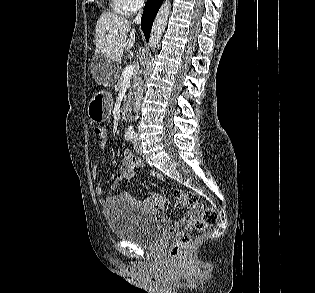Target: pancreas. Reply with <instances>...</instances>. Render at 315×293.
Instances as JSON below:
<instances>
[{"label": "pancreas", "instance_id": "cf45deb5", "mask_svg": "<svg viewBox=\"0 0 315 293\" xmlns=\"http://www.w3.org/2000/svg\"><path fill=\"white\" fill-rule=\"evenodd\" d=\"M119 77V79H118V82H117V88L118 89H120L121 88V84H122V82H123V77L122 76H118ZM137 77L135 76L134 77V81H135V79H136ZM130 94H131V92H130Z\"/></svg>", "mask_w": 315, "mask_h": 293}]
</instances>
